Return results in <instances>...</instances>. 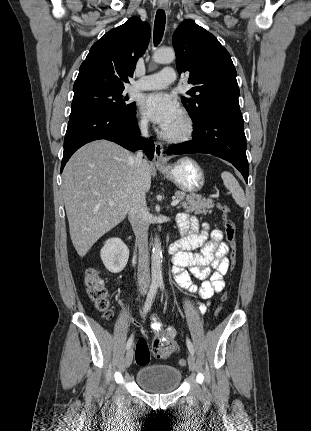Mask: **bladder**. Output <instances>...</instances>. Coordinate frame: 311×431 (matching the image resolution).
Wrapping results in <instances>:
<instances>
[{"mask_svg": "<svg viewBox=\"0 0 311 431\" xmlns=\"http://www.w3.org/2000/svg\"><path fill=\"white\" fill-rule=\"evenodd\" d=\"M136 381L150 393L166 394L180 387L182 372L171 364H146L138 369Z\"/></svg>", "mask_w": 311, "mask_h": 431, "instance_id": "31cf9c89", "label": "bladder"}]
</instances>
